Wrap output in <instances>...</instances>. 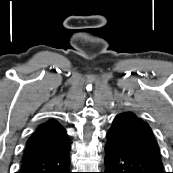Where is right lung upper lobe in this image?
Instances as JSON below:
<instances>
[{"mask_svg": "<svg viewBox=\"0 0 173 173\" xmlns=\"http://www.w3.org/2000/svg\"><path fill=\"white\" fill-rule=\"evenodd\" d=\"M66 131L54 119L40 124L26 143L24 155L59 148L68 144Z\"/></svg>", "mask_w": 173, "mask_h": 173, "instance_id": "right-lung-upper-lobe-1", "label": "right lung upper lobe"}]
</instances>
